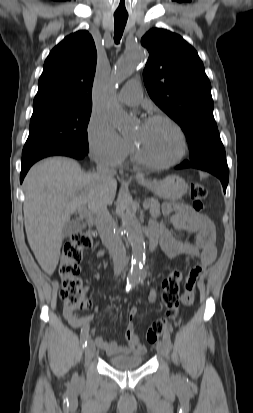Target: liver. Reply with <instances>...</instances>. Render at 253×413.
Wrapping results in <instances>:
<instances>
[{"label": "liver", "mask_w": 253, "mask_h": 413, "mask_svg": "<svg viewBox=\"0 0 253 413\" xmlns=\"http://www.w3.org/2000/svg\"><path fill=\"white\" fill-rule=\"evenodd\" d=\"M23 187L28 243L43 271L52 275L59 262L62 230L70 216L82 206L97 215L111 205L117 181L85 173L73 159L53 157L35 164Z\"/></svg>", "instance_id": "liver-1"}]
</instances>
